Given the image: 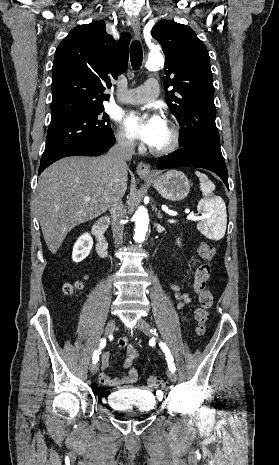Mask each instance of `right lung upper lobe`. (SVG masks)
Listing matches in <instances>:
<instances>
[{
	"label": "right lung upper lobe",
	"mask_w": 279,
	"mask_h": 465,
	"mask_svg": "<svg viewBox=\"0 0 279 465\" xmlns=\"http://www.w3.org/2000/svg\"><path fill=\"white\" fill-rule=\"evenodd\" d=\"M130 35L115 41L103 21L78 25L59 44L52 67L51 124L103 106L110 79L127 67Z\"/></svg>",
	"instance_id": "right-lung-upper-lobe-1"
}]
</instances>
